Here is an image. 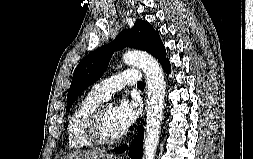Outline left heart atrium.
Here are the masks:
<instances>
[{
  "instance_id": "39dd6f15",
  "label": "left heart atrium",
  "mask_w": 253,
  "mask_h": 159,
  "mask_svg": "<svg viewBox=\"0 0 253 159\" xmlns=\"http://www.w3.org/2000/svg\"><path fill=\"white\" fill-rule=\"evenodd\" d=\"M138 114V104L136 102H130L127 99L121 100V102L114 107V117L121 134L127 132L134 124Z\"/></svg>"
}]
</instances>
